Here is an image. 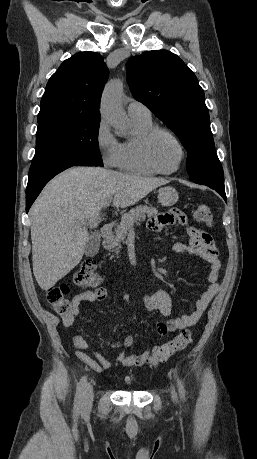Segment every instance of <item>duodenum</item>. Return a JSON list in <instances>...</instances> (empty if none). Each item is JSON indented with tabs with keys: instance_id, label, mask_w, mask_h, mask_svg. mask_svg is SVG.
<instances>
[{
	"instance_id": "duodenum-1",
	"label": "duodenum",
	"mask_w": 257,
	"mask_h": 459,
	"mask_svg": "<svg viewBox=\"0 0 257 459\" xmlns=\"http://www.w3.org/2000/svg\"><path fill=\"white\" fill-rule=\"evenodd\" d=\"M113 227H114V223H108L102 226V228L100 229V236L102 237L109 236Z\"/></svg>"
}]
</instances>
